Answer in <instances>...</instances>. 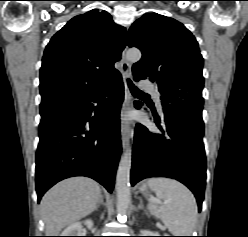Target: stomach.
Segmentation results:
<instances>
[{"mask_svg": "<svg viewBox=\"0 0 248 237\" xmlns=\"http://www.w3.org/2000/svg\"><path fill=\"white\" fill-rule=\"evenodd\" d=\"M140 192L143 194V196L145 198H147L148 200H151L152 198V194L150 191V188L148 187L147 184H143L140 188H139Z\"/></svg>", "mask_w": 248, "mask_h": 237, "instance_id": "obj_1", "label": "stomach"}]
</instances>
